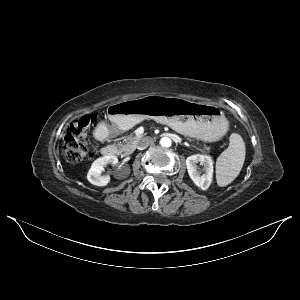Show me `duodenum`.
Segmentation results:
<instances>
[{"label":"duodenum","instance_id":"duodenum-1","mask_svg":"<svg viewBox=\"0 0 300 300\" xmlns=\"http://www.w3.org/2000/svg\"><path fill=\"white\" fill-rule=\"evenodd\" d=\"M109 135V129L106 127L100 128L96 131L95 137L98 141L105 140ZM102 154L105 156H115L117 154V149L112 145H107L102 148Z\"/></svg>","mask_w":300,"mask_h":300}]
</instances>
